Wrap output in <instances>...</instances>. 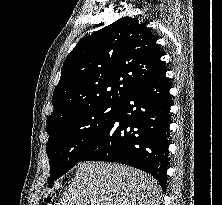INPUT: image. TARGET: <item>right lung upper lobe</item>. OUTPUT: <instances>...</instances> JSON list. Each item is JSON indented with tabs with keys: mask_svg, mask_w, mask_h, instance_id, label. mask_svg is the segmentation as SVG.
<instances>
[{
	"mask_svg": "<svg viewBox=\"0 0 222 205\" xmlns=\"http://www.w3.org/2000/svg\"><path fill=\"white\" fill-rule=\"evenodd\" d=\"M161 56L155 37L136 18L122 17L82 38L63 64L46 126L94 104L121 102L165 69Z\"/></svg>",
	"mask_w": 222,
	"mask_h": 205,
	"instance_id": "1",
	"label": "right lung upper lobe"
}]
</instances>
